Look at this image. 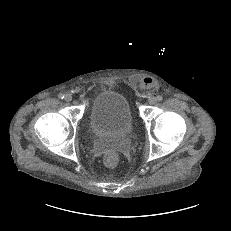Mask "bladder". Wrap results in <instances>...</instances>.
<instances>
[{
    "instance_id": "1",
    "label": "bladder",
    "mask_w": 231,
    "mask_h": 231,
    "mask_svg": "<svg viewBox=\"0 0 231 231\" xmlns=\"http://www.w3.org/2000/svg\"><path fill=\"white\" fill-rule=\"evenodd\" d=\"M85 122L95 132L115 140L135 130L129 101L124 94L115 90H104L94 97Z\"/></svg>"
}]
</instances>
